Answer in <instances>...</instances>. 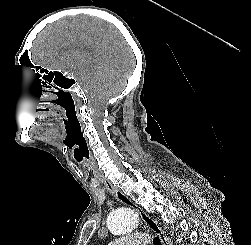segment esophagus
<instances>
[{
  "mask_svg": "<svg viewBox=\"0 0 251 245\" xmlns=\"http://www.w3.org/2000/svg\"><path fill=\"white\" fill-rule=\"evenodd\" d=\"M104 184L107 187V189L111 190V192L115 195V197L119 201L132 207L137 211L142 222L160 237L162 245H172V241L167 236L166 231L162 229V227L158 224V222L154 218L146 214V212H144L142 207L137 205L131 198L125 195L122 191L114 187L109 181L104 180Z\"/></svg>",
  "mask_w": 251,
  "mask_h": 245,
  "instance_id": "1",
  "label": "esophagus"
}]
</instances>
